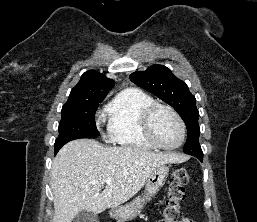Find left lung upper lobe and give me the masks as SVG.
<instances>
[{"label": "left lung upper lobe", "mask_w": 257, "mask_h": 222, "mask_svg": "<svg viewBox=\"0 0 257 222\" xmlns=\"http://www.w3.org/2000/svg\"><path fill=\"white\" fill-rule=\"evenodd\" d=\"M130 79L139 87L153 93L172 106L186 124L188 137L183 151L192 156H203L199 144V112L196 99L190 93L186 83L178 79L169 68L163 65H152L145 71H137Z\"/></svg>", "instance_id": "obj_1"}]
</instances>
